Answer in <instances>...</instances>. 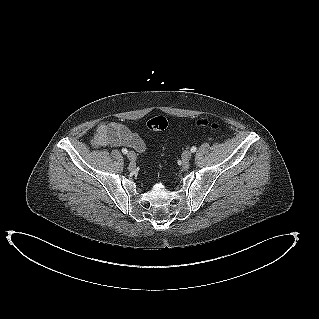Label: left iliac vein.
<instances>
[{"instance_id": "left-iliac-vein-1", "label": "left iliac vein", "mask_w": 319, "mask_h": 319, "mask_svg": "<svg viewBox=\"0 0 319 319\" xmlns=\"http://www.w3.org/2000/svg\"><path fill=\"white\" fill-rule=\"evenodd\" d=\"M191 157H192V152L189 151V150L184 151L183 154H182V160L184 162L189 161L191 159Z\"/></svg>"}]
</instances>
